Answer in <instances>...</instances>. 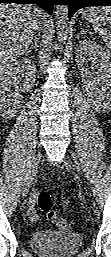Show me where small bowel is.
Listing matches in <instances>:
<instances>
[{
    "label": "small bowel",
    "mask_w": 111,
    "mask_h": 257,
    "mask_svg": "<svg viewBox=\"0 0 111 257\" xmlns=\"http://www.w3.org/2000/svg\"><path fill=\"white\" fill-rule=\"evenodd\" d=\"M27 214L32 221H35L38 218V215L32 205L29 206Z\"/></svg>",
    "instance_id": "obj_1"
}]
</instances>
